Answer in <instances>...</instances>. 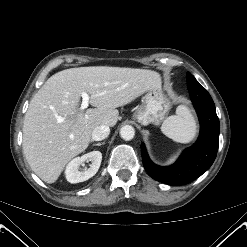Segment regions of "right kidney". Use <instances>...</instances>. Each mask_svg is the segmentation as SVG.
Returning a JSON list of instances; mask_svg holds the SVG:
<instances>
[{"instance_id":"1","label":"right kidney","mask_w":247,"mask_h":247,"mask_svg":"<svg viewBox=\"0 0 247 247\" xmlns=\"http://www.w3.org/2000/svg\"><path fill=\"white\" fill-rule=\"evenodd\" d=\"M85 161H91L90 167L80 170V165ZM101 161L102 153L100 151H92L81 157L74 158L66 166L65 176L67 181L70 183H79L88 180L97 173Z\"/></svg>"}]
</instances>
